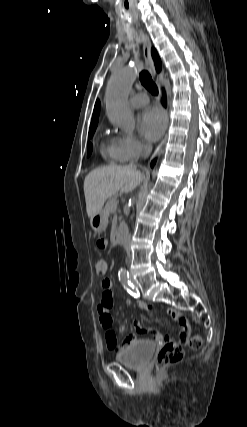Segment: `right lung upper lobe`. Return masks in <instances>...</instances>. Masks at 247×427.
Returning <instances> with one entry per match:
<instances>
[{
  "label": "right lung upper lobe",
  "mask_w": 247,
  "mask_h": 427,
  "mask_svg": "<svg viewBox=\"0 0 247 427\" xmlns=\"http://www.w3.org/2000/svg\"><path fill=\"white\" fill-rule=\"evenodd\" d=\"M152 56L156 65V69L159 72L161 69V63H160V59L159 56L157 54V52L152 49ZM99 111H100V102L97 101L94 107V111H93V116H92V120H91V126H97L98 124V119H99Z\"/></svg>",
  "instance_id": "obj_1"
}]
</instances>
